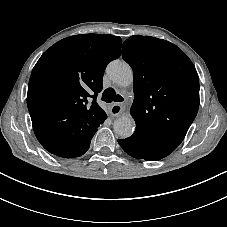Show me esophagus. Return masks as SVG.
Listing matches in <instances>:
<instances>
[{
    "label": "esophagus",
    "instance_id": "1",
    "mask_svg": "<svg viewBox=\"0 0 227 227\" xmlns=\"http://www.w3.org/2000/svg\"><path fill=\"white\" fill-rule=\"evenodd\" d=\"M124 110L123 105L121 104H113L110 108V113L112 116H118L121 114Z\"/></svg>",
    "mask_w": 227,
    "mask_h": 227
}]
</instances>
